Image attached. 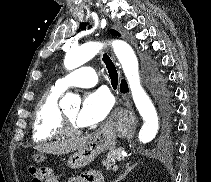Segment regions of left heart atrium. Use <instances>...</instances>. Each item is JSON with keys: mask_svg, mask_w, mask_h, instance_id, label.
I'll return each instance as SVG.
<instances>
[{"mask_svg": "<svg viewBox=\"0 0 211 182\" xmlns=\"http://www.w3.org/2000/svg\"><path fill=\"white\" fill-rule=\"evenodd\" d=\"M112 107V98L104 89H98L85 95L81 109L76 117L79 126H94L101 122Z\"/></svg>", "mask_w": 211, "mask_h": 182, "instance_id": "1", "label": "left heart atrium"}]
</instances>
